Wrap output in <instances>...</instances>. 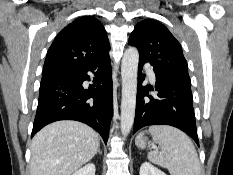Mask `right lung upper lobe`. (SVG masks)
<instances>
[{"mask_svg":"<svg viewBox=\"0 0 233 175\" xmlns=\"http://www.w3.org/2000/svg\"><path fill=\"white\" fill-rule=\"evenodd\" d=\"M106 30L99 20L83 16L67 25L49 48L42 79L64 74L109 55Z\"/></svg>","mask_w":233,"mask_h":175,"instance_id":"obj_1","label":"right lung upper lobe"}]
</instances>
